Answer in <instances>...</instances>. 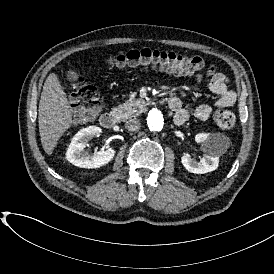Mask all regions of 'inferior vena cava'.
Returning <instances> with one entry per match:
<instances>
[{
  "label": "inferior vena cava",
  "mask_w": 274,
  "mask_h": 274,
  "mask_svg": "<svg viewBox=\"0 0 274 274\" xmlns=\"http://www.w3.org/2000/svg\"><path fill=\"white\" fill-rule=\"evenodd\" d=\"M140 126H141V123L138 119L131 118L125 122V128L129 131L139 130Z\"/></svg>",
  "instance_id": "1"
}]
</instances>
